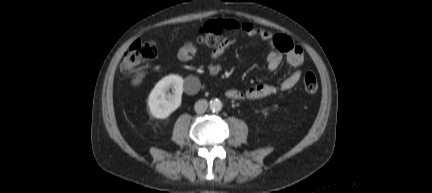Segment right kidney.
<instances>
[{
  "instance_id": "obj_1",
  "label": "right kidney",
  "mask_w": 432,
  "mask_h": 193,
  "mask_svg": "<svg viewBox=\"0 0 432 193\" xmlns=\"http://www.w3.org/2000/svg\"><path fill=\"white\" fill-rule=\"evenodd\" d=\"M184 80L181 76L171 74L162 78L151 91L148 106L152 116L158 119L168 118L181 105ZM173 89V95L167 91Z\"/></svg>"
}]
</instances>
